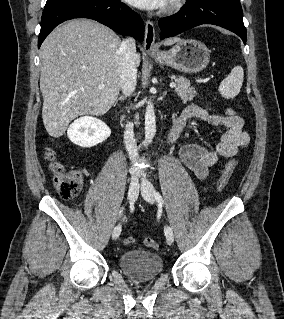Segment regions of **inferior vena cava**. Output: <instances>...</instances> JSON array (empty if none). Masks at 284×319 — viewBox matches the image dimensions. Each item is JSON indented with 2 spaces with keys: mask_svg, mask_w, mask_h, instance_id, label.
<instances>
[{
  "mask_svg": "<svg viewBox=\"0 0 284 319\" xmlns=\"http://www.w3.org/2000/svg\"><path fill=\"white\" fill-rule=\"evenodd\" d=\"M121 50L123 51L121 89L125 96H130L135 89L137 81V54L135 40L132 37H128L123 40L121 43ZM124 143L130 160L135 162L138 157V151L132 124L126 125Z\"/></svg>",
  "mask_w": 284,
  "mask_h": 319,
  "instance_id": "1",
  "label": "inferior vena cava"
}]
</instances>
